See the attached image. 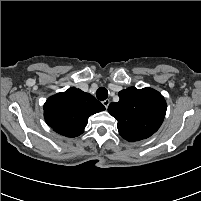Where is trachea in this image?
<instances>
[{
	"label": "trachea",
	"mask_w": 201,
	"mask_h": 201,
	"mask_svg": "<svg viewBox=\"0 0 201 201\" xmlns=\"http://www.w3.org/2000/svg\"><path fill=\"white\" fill-rule=\"evenodd\" d=\"M96 97L100 100L103 101L108 97V90L104 87H100L97 91H96Z\"/></svg>",
	"instance_id": "trachea-1"
}]
</instances>
